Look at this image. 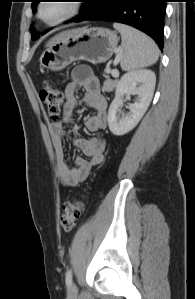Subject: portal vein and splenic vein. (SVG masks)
<instances>
[{
  "mask_svg": "<svg viewBox=\"0 0 195 299\" xmlns=\"http://www.w3.org/2000/svg\"><path fill=\"white\" fill-rule=\"evenodd\" d=\"M111 74H112V76L115 77V78L119 76V72H118V70H116V69H113V70L111 71Z\"/></svg>",
  "mask_w": 195,
  "mask_h": 299,
  "instance_id": "1",
  "label": "portal vein and splenic vein"
}]
</instances>
